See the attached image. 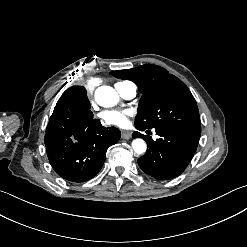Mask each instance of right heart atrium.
I'll return each instance as SVG.
<instances>
[{
	"instance_id": "obj_1",
	"label": "right heart atrium",
	"mask_w": 247,
	"mask_h": 247,
	"mask_svg": "<svg viewBox=\"0 0 247 247\" xmlns=\"http://www.w3.org/2000/svg\"><path fill=\"white\" fill-rule=\"evenodd\" d=\"M102 84V79L98 76H95L91 79L90 82L84 85L83 90L86 94L91 95L95 92L96 89L100 88Z\"/></svg>"
}]
</instances>
